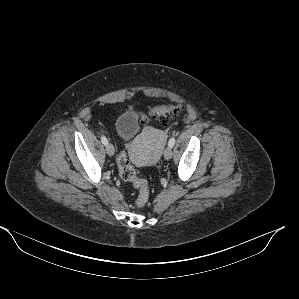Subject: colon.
I'll list each match as a JSON object with an SVG mask.
<instances>
[{
	"label": "colon",
	"mask_w": 299,
	"mask_h": 299,
	"mask_svg": "<svg viewBox=\"0 0 299 299\" xmlns=\"http://www.w3.org/2000/svg\"><path fill=\"white\" fill-rule=\"evenodd\" d=\"M179 108L172 105H161L154 107L151 110V116L159 122L165 124L169 122L177 113ZM148 117L143 116L141 121L147 122ZM119 174L124 181L131 182L133 186L138 189L139 194L136 200L137 206H143L149 197L148 184L144 179H140L136 176V172L132 164L130 163L127 155L122 153L118 158Z\"/></svg>",
	"instance_id": "5ec220e1"
}]
</instances>
